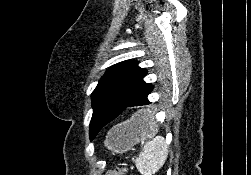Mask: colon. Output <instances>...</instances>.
Segmentation results:
<instances>
[{
    "label": "colon",
    "instance_id": "5ec220e1",
    "mask_svg": "<svg viewBox=\"0 0 251 175\" xmlns=\"http://www.w3.org/2000/svg\"><path fill=\"white\" fill-rule=\"evenodd\" d=\"M127 168L125 167H116L114 169L109 170L106 175H126Z\"/></svg>",
    "mask_w": 251,
    "mask_h": 175
}]
</instances>
